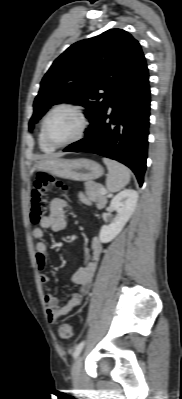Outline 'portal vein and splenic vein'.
<instances>
[{
    "instance_id": "1",
    "label": "portal vein and splenic vein",
    "mask_w": 182,
    "mask_h": 399,
    "mask_svg": "<svg viewBox=\"0 0 182 399\" xmlns=\"http://www.w3.org/2000/svg\"><path fill=\"white\" fill-rule=\"evenodd\" d=\"M103 193H104V194H106V193H107V191H106V190H103Z\"/></svg>"
}]
</instances>
